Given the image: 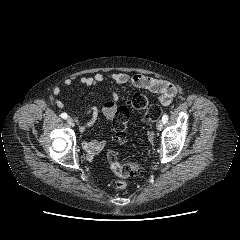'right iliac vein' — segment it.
I'll use <instances>...</instances> for the list:
<instances>
[{"label": "right iliac vein", "instance_id": "obj_1", "mask_svg": "<svg viewBox=\"0 0 240 240\" xmlns=\"http://www.w3.org/2000/svg\"><path fill=\"white\" fill-rule=\"evenodd\" d=\"M67 122H68V124L70 125V126H72V127H74L75 126V122H74V120L72 119V118H68L67 119Z\"/></svg>", "mask_w": 240, "mask_h": 240}]
</instances>
